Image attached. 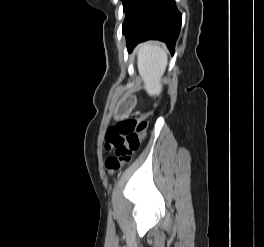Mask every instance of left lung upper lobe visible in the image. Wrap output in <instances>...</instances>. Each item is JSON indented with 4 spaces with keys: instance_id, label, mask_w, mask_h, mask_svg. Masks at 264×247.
<instances>
[{
    "instance_id": "obj_1",
    "label": "left lung upper lobe",
    "mask_w": 264,
    "mask_h": 247,
    "mask_svg": "<svg viewBox=\"0 0 264 247\" xmlns=\"http://www.w3.org/2000/svg\"><path fill=\"white\" fill-rule=\"evenodd\" d=\"M146 0H122L123 9L126 13L123 29L130 23Z\"/></svg>"
}]
</instances>
